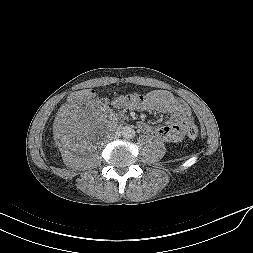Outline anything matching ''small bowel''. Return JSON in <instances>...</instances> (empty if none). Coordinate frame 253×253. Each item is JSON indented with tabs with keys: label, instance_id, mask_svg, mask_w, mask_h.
Segmentation results:
<instances>
[{
	"label": "small bowel",
	"instance_id": "1",
	"mask_svg": "<svg viewBox=\"0 0 253 253\" xmlns=\"http://www.w3.org/2000/svg\"><path fill=\"white\" fill-rule=\"evenodd\" d=\"M117 108L154 110L169 117V120L157 127L141 122L139 128L151 133L161 141L173 143L180 141L192 124V113L188 105L166 90H154L147 94L119 95L114 100Z\"/></svg>",
	"mask_w": 253,
	"mask_h": 253
}]
</instances>
